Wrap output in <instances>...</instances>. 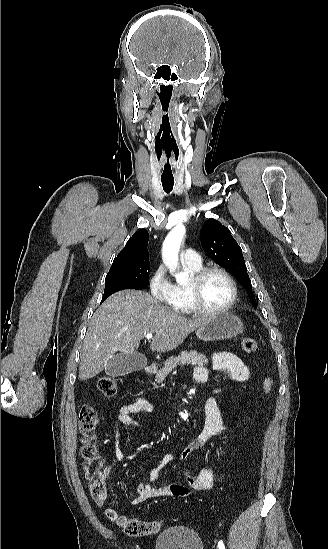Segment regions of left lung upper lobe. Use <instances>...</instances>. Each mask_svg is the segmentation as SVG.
<instances>
[{"label":"left lung upper lobe","instance_id":"obj_1","mask_svg":"<svg viewBox=\"0 0 328 549\" xmlns=\"http://www.w3.org/2000/svg\"><path fill=\"white\" fill-rule=\"evenodd\" d=\"M201 244L204 251L220 266L226 268L237 277L247 289L252 301L255 297L251 291L252 285L247 274L241 247L232 237L228 228L219 221L210 218L202 229Z\"/></svg>","mask_w":328,"mask_h":549}]
</instances>
